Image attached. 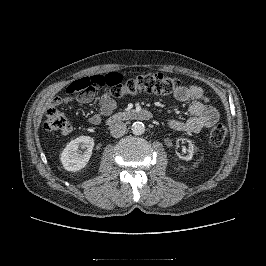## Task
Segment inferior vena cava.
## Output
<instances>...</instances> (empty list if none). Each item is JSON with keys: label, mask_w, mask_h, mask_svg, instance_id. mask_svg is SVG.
<instances>
[{"label": "inferior vena cava", "mask_w": 266, "mask_h": 266, "mask_svg": "<svg viewBox=\"0 0 266 266\" xmlns=\"http://www.w3.org/2000/svg\"><path fill=\"white\" fill-rule=\"evenodd\" d=\"M126 132V124L124 122H116L111 126L110 133L113 137H122Z\"/></svg>", "instance_id": "602c4592"}]
</instances>
